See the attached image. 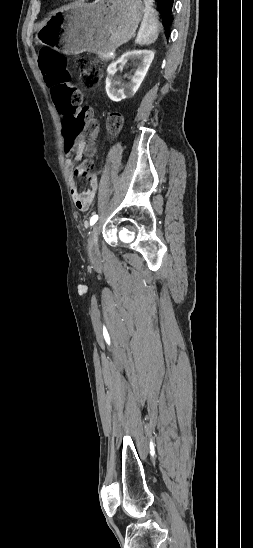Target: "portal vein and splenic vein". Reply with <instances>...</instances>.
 Masks as SVG:
<instances>
[{
  "label": "portal vein and splenic vein",
  "instance_id": "portal-vein-and-splenic-vein-1",
  "mask_svg": "<svg viewBox=\"0 0 253 548\" xmlns=\"http://www.w3.org/2000/svg\"><path fill=\"white\" fill-rule=\"evenodd\" d=\"M110 56H112L114 58V53H110Z\"/></svg>",
  "mask_w": 253,
  "mask_h": 548
}]
</instances>
